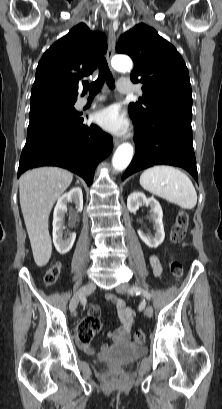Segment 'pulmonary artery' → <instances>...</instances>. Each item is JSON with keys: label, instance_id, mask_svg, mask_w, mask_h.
<instances>
[{"label": "pulmonary artery", "instance_id": "pulmonary-artery-1", "mask_svg": "<svg viewBox=\"0 0 222 409\" xmlns=\"http://www.w3.org/2000/svg\"><path fill=\"white\" fill-rule=\"evenodd\" d=\"M118 90L122 94H130V93L133 92V89L130 86H128L126 84H123L121 82L118 83ZM102 100H103L102 98H97L92 103L99 102V101H102ZM87 103H88V100L85 99V98H82L79 101L80 106H85Z\"/></svg>", "mask_w": 222, "mask_h": 409}]
</instances>
